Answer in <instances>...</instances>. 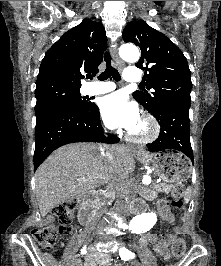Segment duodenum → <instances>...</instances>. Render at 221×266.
I'll use <instances>...</instances> for the list:
<instances>
[{
	"label": "duodenum",
	"instance_id": "obj_1",
	"mask_svg": "<svg viewBox=\"0 0 221 266\" xmlns=\"http://www.w3.org/2000/svg\"><path fill=\"white\" fill-rule=\"evenodd\" d=\"M96 195H92L89 193L81 194L78 197V202L80 203L79 209V222L83 226H87L91 223L93 215H94V206L93 202L95 200ZM142 207L139 204H134L131 207V212L136 213L140 211Z\"/></svg>",
	"mask_w": 221,
	"mask_h": 266
}]
</instances>
